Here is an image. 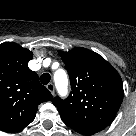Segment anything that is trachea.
I'll list each match as a JSON object with an SVG mask.
<instances>
[{
	"instance_id": "1",
	"label": "trachea",
	"mask_w": 136,
	"mask_h": 136,
	"mask_svg": "<svg viewBox=\"0 0 136 136\" xmlns=\"http://www.w3.org/2000/svg\"><path fill=\"white\" fill-rule=\"evenodd\" d=\"M51 76L48 73H44L40 76V82L47 85L50 82Z\"/></svg>"
}]
</instances>
